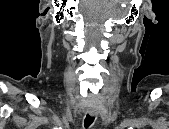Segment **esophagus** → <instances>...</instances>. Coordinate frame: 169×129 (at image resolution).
I'll return each mask as SVG.
<instances>
[{"mask_svg": "<svg viewBox=\"0 0 169 129\" xmlns=\"http://www.w3.org/2000/svg\"><path fill=\"white\" fill-rule=\"evenodd\" d=\"M88 113L91 115V116H95L96 115V112L94 110H91V109H88Z\"/></svg>", "mask_w": 169, "mask_h": 129, "instance_id": "esophagus-1", "label": "esophagus"}]
</instances>
